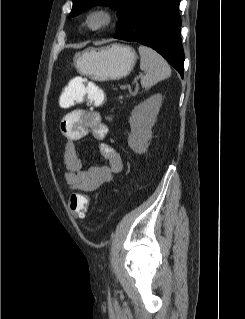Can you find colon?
I'll return each instance as SVG.
<instances>
[{
    "mask_svg": "<svg viewBox=\"0 0 245 319\" xmlns=\"http://www.w3.org/2000/svg\"><path fill=\"white\" fill-rule=\"evenodd\" d=\"M104 101V92L99 88V86L90 80H84L79 88L77 94L75 95V100L70 105H65L63 107L73 106L78 103L86 102L91 106L98 107L102 105ZM88 208V197L82 193H73L69 198V209L79 219L85 218Z\"/></svg>",
    "mask_w": 245,
    "mask_h": 319,
    "instance_id": "colon-1",
    "label": "colon"
}]
</instances>
